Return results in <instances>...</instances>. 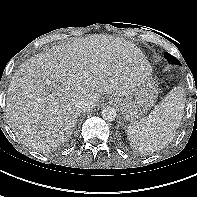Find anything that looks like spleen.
<instances>
[{
	"label": "spleen",
	"mask_w": 197,
	"mask_h": 197,
	"mask_svg": "<svg viewBox=\"0 0 197 197\" xmlns=\"http://www.w3.org/2000/svg\"><path fill=\"white\" fill-rule=\"evenodd\" d=\"M185 96L183 87H174L147 117L130 124L127 137L131 146L154 152L170 143L184 114Z\"/></svg>",
	"instance_id": "obj_1"
}]
</instances>
